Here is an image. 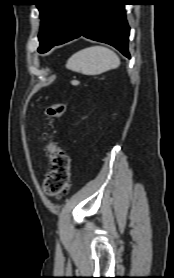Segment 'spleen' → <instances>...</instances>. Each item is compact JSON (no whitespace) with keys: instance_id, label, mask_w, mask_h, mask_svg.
Instances as JSON below:
<instances>
[{"instance_id":"obj_1","label":"spleen","mask_w":174,"mask_h":278,"mask_svg":"<svg viewBox=\"0 0 174 278\" xmlns=\"http://www.w3.org/2000/svg\"><path fill=\"white\" fill-rule=\"evenodd\" d=\"M120 59L112 50L102 46H92L73 54L67 61V69L84 75H98L115 69Z\"/></svg>"}]
</instances>
